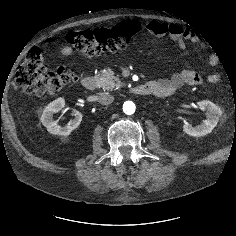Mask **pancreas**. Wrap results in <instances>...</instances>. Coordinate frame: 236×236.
<instances>
[{
	"mask_svg": "<svg viewBox=\"0 0 236 236\" xmlns=\"http://www.w3.org/2000/svg\"><path fill=\"white\" fill-rule=\"evenodd\" d=\"M95 78L98 81L99 87L106 90H113L123 85L118 76H115L114 71L111 69H105L100 74H97Z\"/></svg>",
	"mask_w": 236,
	"mask_h": 236,
	"instance_id": "obj_1",
	"label": "pancreas"
}]
</instances>
